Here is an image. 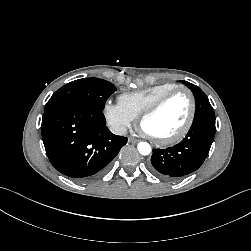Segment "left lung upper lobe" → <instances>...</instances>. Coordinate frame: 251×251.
I'll list each match as a JSON object with an SVG mask.
<instances>
[{"label": "left lung upper lobe", "instance_id": "1", "mask_svg": "<svg viewBox=\"0 0 251 251\" xmlns=\"http://www.w3.org/2000/svg\"><path fill=\"white\" fill-rule=\"evenodd\" d=\"M188 88H190L196 99V112L194 120L201 117H213L215 118L214 110L205 95V93L196 85L189 83L187 81H182Z\"/></svg>", "mask_w": 251, "mask_h": 251}]
</instances>
